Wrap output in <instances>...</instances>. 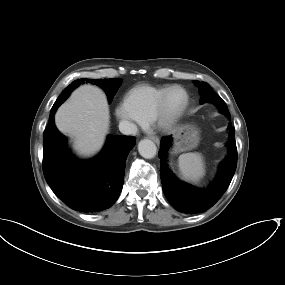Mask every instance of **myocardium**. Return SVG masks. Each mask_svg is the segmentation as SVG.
Wrapping results in <instances>:
<instances>
[{"mask_svg": "<svg viewBox=\"0 0 285 285\" xmlns=\"http://www.w3.org/2000/svg\"><path fill=\"white\" fill-rule=\"evenodd\" d=\"M174 90L182 91L184 93L185 99L183 104L177 110L171 111L169 108V98ZM189 104L190 96L184 87L180 85L170 86L165 91L162 99L157 105L150 123L153 124L155 128L163 132L171 131L182 119L189 107Z\"/></svg>", "mask_w": 285, "mask_h": 285, "instance_id": "obj_1", "label": "myocardium"}]
</instances>
